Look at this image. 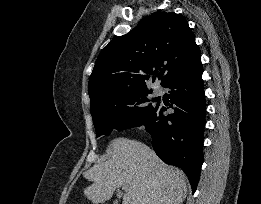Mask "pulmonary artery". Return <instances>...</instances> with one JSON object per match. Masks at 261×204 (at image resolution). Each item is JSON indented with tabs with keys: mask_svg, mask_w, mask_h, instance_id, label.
Here are the masks:
<instances>
[{
	"mask_svg": "<svg viewBox=\"0 0 261 204\" xmlns=\"http://www.w3.org/2000/svg\"><path fill=\"white\" fill-rule=\"evenodd\" d=\"M155 94L156 95H160V94H162V89L160 88V87H155Z\"/></svg>",
	"mask_w": 261,
	"mask_h": 204,
	"instance_id": "1",
	"label": "pulmonary artery"
}]
</instances>
